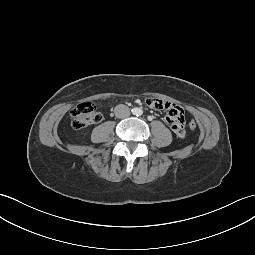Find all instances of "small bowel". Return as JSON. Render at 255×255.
I'll return each mask as SVG.
<instances>
[{"instance_id":"obj_1","label":"small bowel","mask_w":255,"mask_h":255,"mask_svg":"<svg viewBox=\"0 0 255 255\" xmlns=\"http://www.w3.org/2000/svg\"><path fill=\"white\" fill-rule=\"evenodd\" d=\"M145 103L150 107L165 112L166 126L171 135L176 136L181 141L189 138V133L185 126V112L180 106L173 102H165L157 97H146Z\"/></svg>"}]
</instances>
